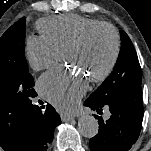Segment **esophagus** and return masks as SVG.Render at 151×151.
<instances>
[{"label":"esophagus","instance_id":"1","mask_svg":"<svg viewBox=\"0 0 151 151\" xmlns=\"http://www.w3.org/2000/svg\"><path fill=\"white\" fill-rule=\"evenodd\" d=\"M77 114H61V120L62 121H71L75 117H77Z\"/></svg>","mask_w":151,"mask_h":151}]
</instances>
